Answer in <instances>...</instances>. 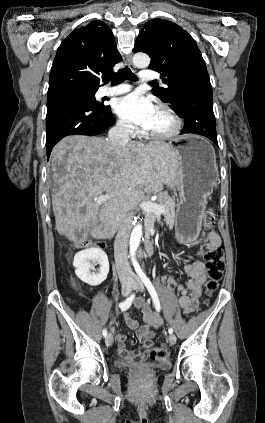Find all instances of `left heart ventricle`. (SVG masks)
<instances>
[{
  "instance_id": "left-heart-ventricle-1",
  "label": "left heart ventricle",
  "mask_w": 265,
  "mask_h": 423,
  "mask_svg": "<svg viewBox=\"0 0 265 423\" xmlns=\"http://www.w3.org/2000/svg\"><path fill=\"white\" fill-rule=\"evenodd\" d=\"M173 127V121L163 111L157 108L156 113L147 127V130L153 132H166Z\"/></svg>"
}]
</instances>
